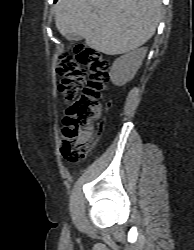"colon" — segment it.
<instances>
[{"mask_svg":"<svg viewBox=\"0 0 194 250\" xmlns=\"http://www.w3.org/2000/svg\"><path fill=\"white\" fill-rule=\"evenodd\" d=\"M82 66L86 67L87 81ZM108 66L101 52L81 44L72 53L59 56L57 72L62 78L59 92L66 106L61 153L68 162L76 163L87 155L92 123L101 115Z\"/></svg>","mask_w":194,"mask_h":250,"instance_id":"5ec220e1","label":"colon"}]
</instances>
